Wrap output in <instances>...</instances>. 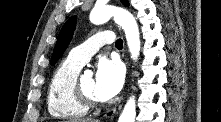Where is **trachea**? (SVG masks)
Returning a JSON list of instances; mask_svg holds the SVG:
<instances>
[{"instance_id":"1","label":"trachea","mask_w":221,"mask_h":122,"mask_svg":"<svg viewBox=\"0 0 221 122\" xmlns=\"http://www.w3.org/2000/svg\"><path fill=\"white\" fill-rule=\"evenodd\" d=\"M123 45L122 39H118L115 43L116 48L121 49Z\"/></svg>"}]
</instances>
